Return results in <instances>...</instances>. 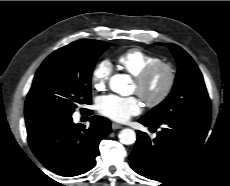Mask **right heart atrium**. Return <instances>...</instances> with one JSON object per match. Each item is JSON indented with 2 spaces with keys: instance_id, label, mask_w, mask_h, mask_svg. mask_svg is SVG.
<instances>
[{
  "instance_id": "obj_1",
  "label": "right heart atrium",
  "mask_w": 230,
  "mask_h": 186,
  "mask_svg": "<svg viewBox=\"0 0 230 186\" xmlns=\"http://www.w3.org/2000/svg\"><path fill=\"white\" fill-rule=\"evenodd\" d=\"M113 67L110 61L101 60L93 68L91 72V82L96 90H103L111 77Z\"/></svg>"
}]
</instances>
